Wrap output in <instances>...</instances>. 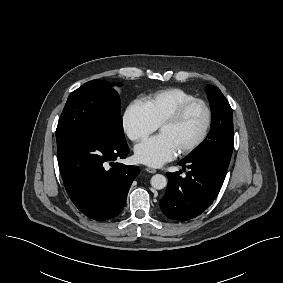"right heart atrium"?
<instances>
[{"mask_svg": "<svg viewBox=\"0 0 283 283\" xmlns=\"http://www.w3.org/2000/svg\"><path fill=\"white\" fill-rule=\"evenodd\" d=\"M122 126L127 137L134 142L144 139L158 127L144 103L138 99L127 105L122 117Z\"/></svg>", "mask_w": 283, "mask_h": 283, "instance_id": "obj_1", "label": "right heart atrium"}]
</instances>
